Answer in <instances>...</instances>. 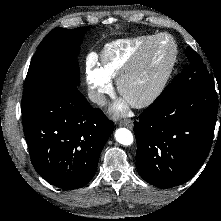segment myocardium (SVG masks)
Segmentation results:
<instances>
[{"label": "myocardium", "mask_w": 221, "mask_h": 221, "mask_svg": "<svg viewBox=\"0 0 221 221\" xmlns=\"http://www.w3.org/2000/svg\"><path fill=\"white\" fill-rule=\"evenodd\" d=\"M161 39H168L172 52L170 59L161 75L159 80L156 82L154 87L143 97L131 100L127 97L126 91L128 85L136 79V77L142 72L144 69L148 56L150 54V51L152 50L153 46L160 41ZM178 56V47L174 40V38L167 34V33H160L155 35L140 51L138 54L136 60L131 64V66L119 77L118 79V90L120 94L125 97L134 107L137 108H144L152 103H154L159 96L162 94L164 89L167 86V83L172 75V72L174 70L176 61Z\"/></svg>", "instance_id": "myocardium-1"}]
</instances>
